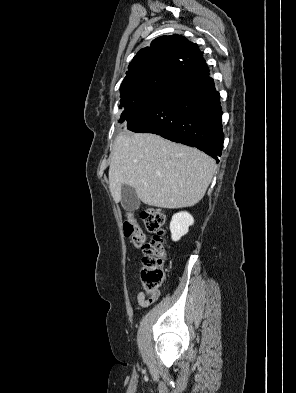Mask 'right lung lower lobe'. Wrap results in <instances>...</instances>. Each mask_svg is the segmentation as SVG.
I'll return each instance as SVG.
<instances>
[{
	"instance_id": "98d812e1",
	"label": "right lung lower lobe",
	"mask_w": 296,
	"mask_h": 393,
	"mask_svg": "<svg viewBox=\"0 0 296 393\" xmlns=\"http://www.w3.org/2000/svg\"><path fill=\"white\" fill-rule=\"evenodd\" d=\"M219 98L202 58L171 75L125 128L196 147L219 162L224 136Z\"/></svg>"
}]
</instances>
